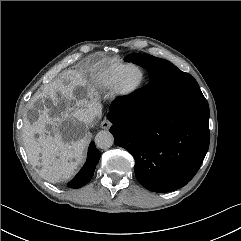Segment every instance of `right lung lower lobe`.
<instances>
[{
	"mask_svg": "<svg viewBox=\"0 0 241 241\" xmlns=\"http://www.w3.org/2000/svg\"><path fill=\"white\" fill-rule=\"evenodd\" d=\"M100 159V152L96 148L95 143L91 142L88 149V156L85 165L74 177V179L68 184L71 188H80L87 184L93 177L96 165Z\"/></svg>",
	"mask_w": 241,
	"mask_h": 241,
	"instance_id": "right-lung-lower-lobe-1",
	"label": "right lung lower lobe"
}]
</instances>
